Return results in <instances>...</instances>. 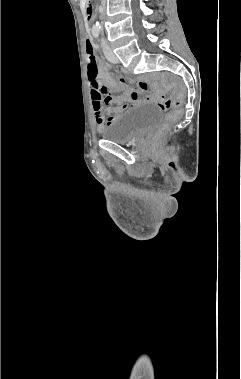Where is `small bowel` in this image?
<instances>
[{
  "mask_svg": "<svg viewBox=\"0 0 241 379\" xmlns=\"http://www.w3.org/2000/svg\"><path fill=\"white\" fill-rule=\"evenodd\" d=\"M89 41L92 42L91 40ZM97 79L99 80V85H103V87H99L105 90V92H101L100 89H91L94 120L99 130L108 125L123 110L127 109L130 103L157 101L158 96L154 94L141 98V92L147 90L146 81H128V87H136V89H129L111 79L103 67L99 69ZM106 87H111L112 91L108 92Z\"/></svg>",
  "mask_w": 241,
  "mask_h": 379,
  "instance_id": "small-bowel-1",
  "label": "small bowel"
}]
</instances>
